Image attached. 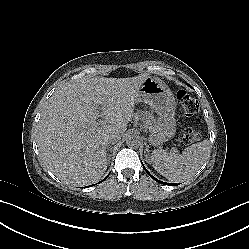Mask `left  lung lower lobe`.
<instances>
[{
    "label": "left lung lower lobe",
    "mask_w": 249,
    "mask_h": 249,
    "mask_svg": "<svg viewBox=\"0 0 249 249\" xmlns=\"http://www.w3.org/2000/svg\"><path fill=\"white\" fill-rule=\"evenodd\" d=\"M143 165V164H142ZM143 168L145 169V167L143 166ZM146 170V169H145ZM146 172L150 175V173L146 170ZM151 176V175H150ZM154 180H156L157 182H160L158 181L157 179H155L153 176H151ZM164 184V183H163Z\"/></svg>",
    "instance_id": "left-lung-lower-lobe-1"
}]
</instances>
